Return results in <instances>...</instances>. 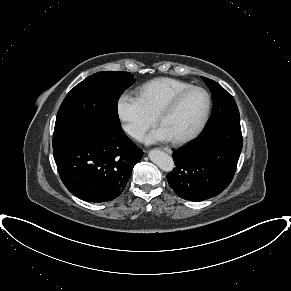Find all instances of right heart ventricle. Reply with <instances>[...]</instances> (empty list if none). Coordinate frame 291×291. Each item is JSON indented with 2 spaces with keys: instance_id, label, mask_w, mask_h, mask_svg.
<instances>
[{
  "instance_id": "1",
  "label": "right heart ventricle",
  "mask_w": 291,
  "mask_h": 291,
  "mask_svg": "<svg viewBox=\"0 0 291 291\" xmlns=\"http://www.w3.org/2000/svg\"><path fill=\"white\" fill-rule=\"evenodd\" d=\"M190 86V83L179 79L159 77L139 86L137 95L148 112L156 117L171 97Z\"/></svg>"
}]
</instances>
